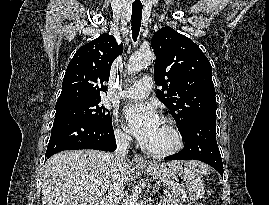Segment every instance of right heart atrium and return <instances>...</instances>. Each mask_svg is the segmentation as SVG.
Wrapping results in <instances>:
<instances>
[{
    "label": "right heart atrium",
    "instance_id": "d8ad5b80",
    "mask_svg": "<svg viewBox=\"0 0 269 205\" xmlns=\"http://www.w3.org/2000/svg\"><path fill=\"white\" fill-rule=\"evenodd\" d=\"M116 125L114 128V135L117 141L121 143H127L130 140L129 135L119 126L118 122L115 121Z\"/></svg>",
    "mask_w": 269,
    "mask_h": 205
}]
</instances>
